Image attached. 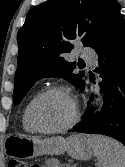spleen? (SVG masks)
I'll return each instance as SVG.
<instances>
[{
	"label": "spleen",
	"mask_w": 125,
	"mask_h": 167,
	"mask_svg": "<svg viewBox=\"0 0 125 167\" xmlns=\"http://www.w3.org/2000/svg\"><path fill=\"white\" fill-rule=\"evenodd\" d=\"M99 167H125V147L115 139L102 135L90 137Z\"/></svg>",
	"instance_id": "obj_1"
}]
</instances>
